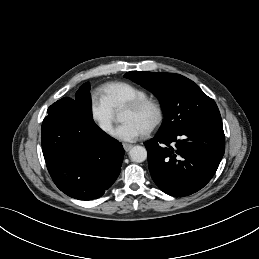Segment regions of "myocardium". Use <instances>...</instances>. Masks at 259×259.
<instances>
[{
  "instance_id": "myocardium-1",
  "label": "myocardium",
  "mask_w": 259,
  "mask_h": 259,
  "mask_svg": "<svg viewBox=\"0 0 259 259\" xmlns=\"http://www.w3.org/2000/svg\"><path fill=\"white\" fill-rule=\"evenodd\" d=\"M147 106L152 107L154 109L155 118L154 121L144 131H142V134L145 136L155 132L161 126L164 120L165 112L161 102L157 99L147 97L131 101L121 108V111L125 110L130 112H136Z\"/></svg>"
}]
</instances>
